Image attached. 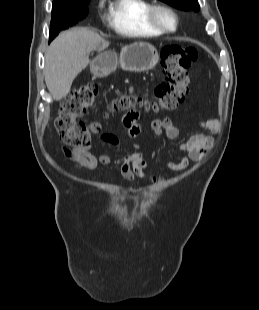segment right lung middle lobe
<instances>
[{
  "label": "right lung middle lobe",
  "mask_w": 259,
  "mask_h": 310,
  "mask_svg": "<svg viewBox=\"0 0 259 310\" xmlns=\"http://www.w3.org/2000/svg\"><path fill=\"white\" fill-rule=\"evenodd\" d=\"M90 0L82 4L52 8V18L50 24V40L54 39L62 30L76 24L88 14L87 5Z\"/></svg>",
  "instance_id": "dd1d6c3e"
}]
</instances>
